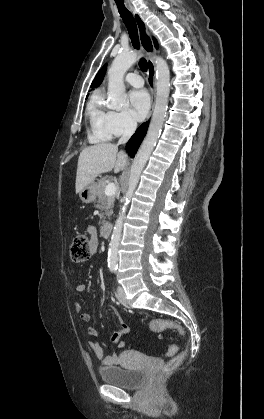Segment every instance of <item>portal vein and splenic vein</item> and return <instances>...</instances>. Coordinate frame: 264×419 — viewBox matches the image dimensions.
I'll list each match as a JSON object with an SVG mask.
<instances>
[{
	"label": "portal vein and splenic vein",
	"instance_id": "obj_1",
	"mask_svg": "<svg viewBox=\"0 0 264 419\" xmlns=\"http://www.w3.org/2000/svg\"><path fill=\"white\" fill-rule=\"evenodd\" d=\"M116 193V186L114 183H108L105 188V194L107 196H112Z\"/></svg>",
	"mask_w": 264,
	"mask_h": 419
}]
</instances>
